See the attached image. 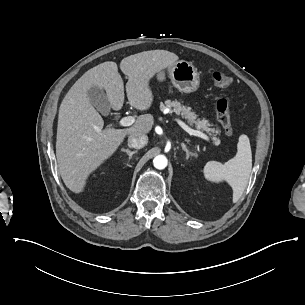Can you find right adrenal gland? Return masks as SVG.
<instances>
[{
  "mask_svg": "<svg viewBox=\"0 0 305 305\" xmlns=\"http://www.w3.org/2000/svg\"><path fill=\"white\" fill-rule=\"evenodd\" d=\"M122 151L126 152L129 156V160H131L133 154L137 153V150L135 151H130L129 149H123Z\"/></svg>",
  "mask_w": 305,
  "mask_h": 305,
  "instance_id": "2a0ac1e0",
  "label": "right adrenal gland"
}]
</instances>
